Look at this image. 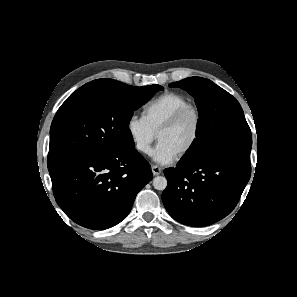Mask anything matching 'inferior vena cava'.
Masks as SVG:
<instances>
[{"label": "inferior vena cava", "instance_id": "inferior-vena-cava-1", "mask_svg": "<svg viewBox=\"0 0 297 297\" xmlns=\"http://www.w3.org/2000/svg\"><path fill=\"white\" fill-rule=\"evenodd\" d=\"M139 149L146 152V150L148 149V145L147 144H141V145H139Z\"/></svg>", "mask_w": 297, "mask_h": 297}]
</instances>
